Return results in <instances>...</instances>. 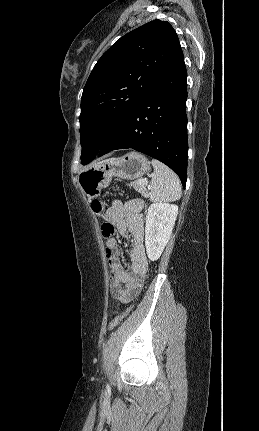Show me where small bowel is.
Returning <instances> with one entry per match:
<instances>
[{
	"label": "small bowel",
	"instance_id": "1",
	"mask_svg": "<svg viewBox=\"0 0 259 431\" xmlns=\"http://www.w3.org/2000/svg\"><path fill=\"white\" fill-rule=\"evenodd\" d=\"M105 214L104 219L116 226L121 237L129 236L132 240L129 269L121 261L120 243L115 238L106 240V257L111 269L110 291L119 303L126 304L140 293L149 265L144 249L142 202L114 200Z\"/></svg>",
	"mask_w": 259,
	"mask_h": 431
}]
</instances>
